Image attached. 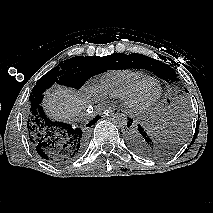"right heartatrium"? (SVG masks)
Listing matches in <instances>:
<instances>
[{
  "instance_id": "obj_1",
  "label": "right heart atrium",
  "mask_w": 213,
  "mask_h": 213,
  "mask_svg": "<svg viewBox=\"0 0 213 213\" xmlns=\"http://www.w3.org/2000/svg\"><path fill=\"white\" fill-rule=\"evenodd\" d=\"M92 92H93L94 94H96V91H95V90H92Z\"/></svg>"
}]
</instances>
